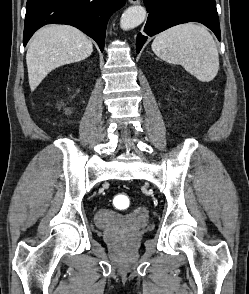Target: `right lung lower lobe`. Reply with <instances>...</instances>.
Segmentation results:
<instances>
[{
    "instance_id": "obj_1",
    "label": "right lung lower lobe",
    "mask_w": 249,
    "mask_h": 294,
    "mask_svg": "<svg viewBox=\"0 0 249 294\" xmlns=\"http://www.w3.org/2000/svg\"><path fill=\"white\" fill-rule=\"evenodd\" d=\"M124 4L125 0H27L23 44L40 27L57 23L82 30L103 51L107 21Z\"/></svg>"
}]
</instances>
